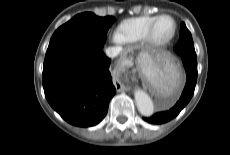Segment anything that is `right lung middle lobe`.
I'll return each mask as SVG.
<instances>
[{
  "label": "right lung middle lobe",
  "instance_id": "1",
  "mask_svg": "<svg viewBox=\"0 0 230 155\" xmlns=\"http://www.w3.org/2000/svg\"><path fill=\"white\" fill-rule=\"evenodd\" d=\"M114 20L112 16L98 17L91 12L78 14L54 32L47 51L83 41L103 43Z\"/></svg>",
  "mask_w": 230,
  "mask_h": 155
}]
</instances>
